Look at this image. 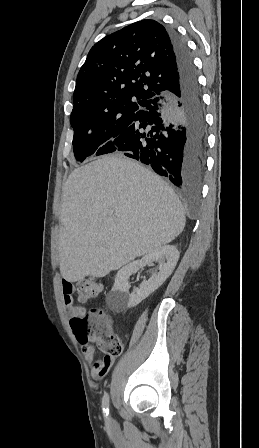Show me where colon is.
Listing matches in <instances>:
<instances>
[{"mask_svg":"<svg viewBox=\"0 0 259 448\" xmlns=\"http://www.w3.org/2000/svg\"><path fill=\"white\" fill-rule=\"evenodd\" d=\"M102 292L101 283L93 278H85L76 285L78 300L87 302L97 298ZM78 341L85 345L94 342L106 356L115 357L122 353L120 338L113 332L106 312L100 308H91L82 316L72 320Z\"/></svg>","mask_w":259,"mask_h":448,"instance_id":"obj_1","label":"colon"}]
</instances>
